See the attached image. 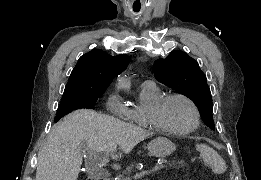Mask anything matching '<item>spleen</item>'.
Masks as SVG:
<instances>
[{
    "label": "spleen",
    "mask_w": 261,
    "mask_h": 180,
    "mask_svg": "<svg viewBox=\"0 0 261 180\" xmlns=\"http://www.w3.org/2000/svg\"><path fill=\"white\" fill-rule=\"evenodd\" d=\"M196 150L200 152L201 158H203L205 164H209L214 174H224L226 172L225 160L213 148H209L205 144H197Z\"/></svg>",
    "instance_id": "3e777b00"
}]
</instances>
